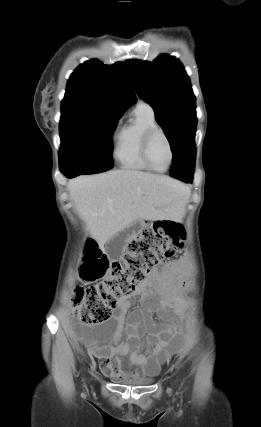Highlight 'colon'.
Returning a JSON list of instances; mask_svg holds the SVG:
<instances>
[{"label":"colon","instance_id":"5ec220e1","mask_svg":"<svg viewBox=\"0 0 261 427\" xmlns=\"http://www.w3.org/2000/svg\"><path fill=\"white\" fill-rule=\"evenodd\" d=\"M184 237L180 224L157 221L129 241L122 258L113 262H109L94 240H88L83 275L90 281H102L77 288L76 316L86 325L108 320L117 299L131 295L159 263L179 253Z\"/></svg>","mask_w":261,"mask_h":427}]
</instances>
